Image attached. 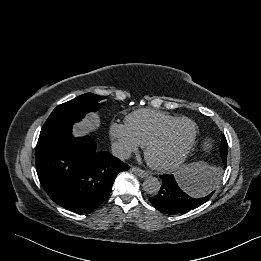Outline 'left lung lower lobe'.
I'll return each mask as SVG.
<instances>
[{
  "label": "left lung lower lobe",
  "mask_w": 261,
  "mask_h": 261,
  "mask_svg": "<svg viewBox=\"0 0 261 261\" xmlns=\"http://www.w3.org/2000/svg\"><path fill=\"white\" fill-rule=\"evenodd\" d=\"M222 160L226 165L227 156H223ZM219 177V170L198 174L194 178L188 175H161L162 187L159 193L149 200L163 213H184L199 207L211 198Z\"/></svg>",
  "instance_id": "0a47b994"
}]
</instances>
